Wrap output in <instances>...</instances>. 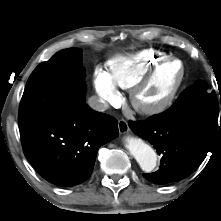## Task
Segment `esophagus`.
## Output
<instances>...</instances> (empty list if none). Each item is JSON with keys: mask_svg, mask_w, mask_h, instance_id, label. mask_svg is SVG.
<instances>
[{"mask_svg": "<svg viewBox=\"0 0 221 221\" xmlns=\"http://www.w3.org/2000/svg\"><path fill=\"white\" fill-rule=\"evenodd\" d=\"M118 129L121 134L128 133L129 132V125H128L127 121H125L124 119L119 120L118 121Z\"/></svg>", "mask_w": 221, "mask_h": 221, "instance_id": "34e87169", "label": "esophagus"}]
</instances>
